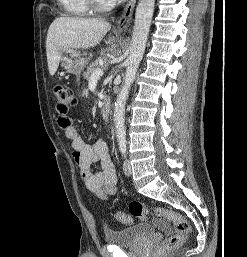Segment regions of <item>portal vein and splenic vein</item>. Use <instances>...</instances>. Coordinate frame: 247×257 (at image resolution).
Instances as JSON below:
<instances>
[{"mask_svg": "<svg viewBox=\"0 0 247 257\" xmlns=\"http://www.w3.org/2000/svg\"><path fill=\"white\" fill-rule=\"evenodd\" d=\"M103 74H104L103 69L97 68L92 73L89 81L90 82L97 81L101 76H103Z\"/></svg>", "mask_w": 247, "mask_h": 257, "instance_id": "obj_1", "label": "portal vein and splenic vein"}]
</instances>
